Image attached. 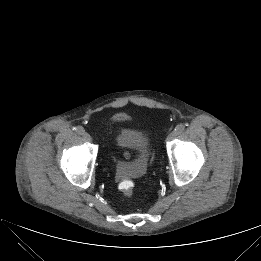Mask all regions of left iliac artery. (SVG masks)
<instances>
[{"label":"left iliac artery","mask_w":261,"mask_h":261,"mask_svg":"<svg viewBox=\"0 0 261 261\" xmlns=\"http://www.w3.org/2000/svg\"><path fill=\"white\" fill-rule=\"evenodd\" d=\"M185 130V124H179L176 126L175 131L180 134Z\"/></svg>","instance_id":"44dca946"}]
</instances>
